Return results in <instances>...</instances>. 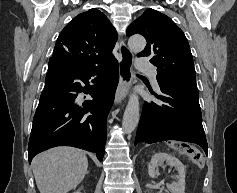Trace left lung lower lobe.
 Returning a JSON list of instances; mask_svg holds the SVG:
<instances>
[{
	"label": "left lung lower lobe",
	"mask_w": 237,
	"mask_h": 193,
	"mask_svg": "<svg viewBox=\"0 0 237 193\" xmlns=\"http://www.w3.org/2000/svg\"><path fill=\"white\" fill-rule=\"evenodd\" d=\"M162 104L145 102L135 144L178 140L200 145L207 154L208 145L202 126L197 87L174 84L159 85Z\"/></svg>",
	"instance_id": "0a47b994"
}]
</instances>
